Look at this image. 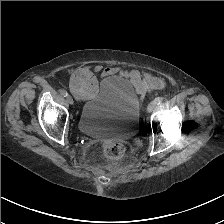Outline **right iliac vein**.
Masks as SVG:
<instances>
[{"mask_svg": "<svg viewBox=\"0 0 224 224\" xmlns=\"http://www.w3.org/2000/svg\"><path fill=\"white\" fill-rule=\"evenodd\" d=\"M66 100H67V102L70 104V105H72L73 104V98L70 96V95H68L67 97H66Z\"/></svg>", "mask_w": 224, "mask_h": 224, "instance_id": "63e3f726", "label": "right iliac vein"}]
</instances>
